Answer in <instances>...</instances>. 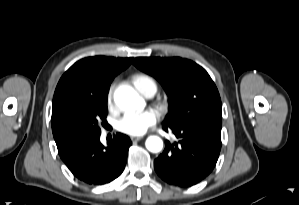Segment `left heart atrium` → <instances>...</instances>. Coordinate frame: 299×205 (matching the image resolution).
<instances>
[{"instance_id": "left-heart-atrium-1", "label": "left heart atrium", "mask_w": 299, "mask_h": 205, "mask_svg": "<svg viewBox=\"0 0 299 205\" xmlns=\"http://www.w3.org/2000/svg\"><path fill=\"white\" fill-rule=\"evenodd\" d=\"M157 122V115L152 110L129 113L123 116L117 124L119 131L129 135H142Z\"/></svg>"}]
</instances>
